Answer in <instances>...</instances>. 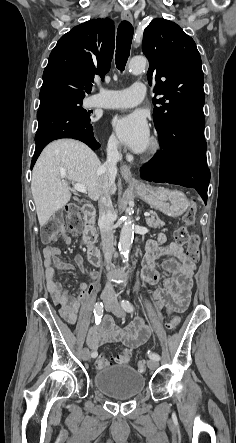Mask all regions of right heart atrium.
I'll use <instances>...</instances> for the list:
<instances>
[{
	"mask_svg": "<svg viewBox=\"0 0 236 443\" xmlns=\"http://www.w3.org/2000/svg\"><path fill=\"white\" fill-rule=\"evenodd\" d=\"M108 147H109V150H110V151H114L115 148H116V144H115V142H114L113 140H110V141H109V145H108Z\"/></svg>",
	"mask_w": 236,
	"mask_h": 443,
	"instance_id": "d8ad5b80",
	"label": "right heart atrium"
}]
</instances>
